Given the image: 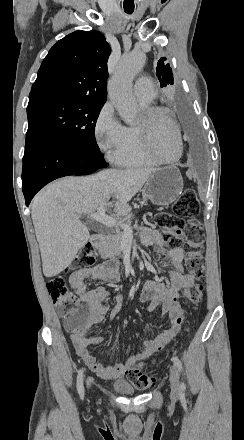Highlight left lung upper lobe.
<instances>
[{
	"mask_svg": "<svg viewBox=\"0 0 244 440\" xmlns=\"http://www.w3.org/2000/svg\"><path fill=\"white\" fill-rule=\"evenodd\" d=\"M166 58H161L157 63V73L158 79L160 81L161 87H167L169 85H173V74L172 69L169 64H165Z\"/></svg>",
	"mask_w": 244,
	"mask_h": 440,
	"instance_id": "left-lung-upper-lobe-1",
	"label": "left lung upper lobe"
}]
</instances>
